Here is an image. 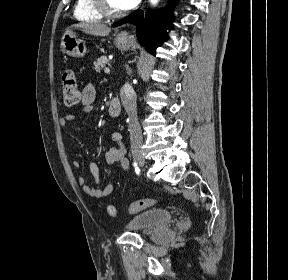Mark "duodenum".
<instances>
[{"label": "duodenum", "instance_id": "1", "mask_svg": "<svg viewBox=\"0 0 288 280\" xmlns=\"http://www.w3.org/2000/svg\"><path fill=\"white\" fill-rule=\"evenodd\" d=\"M107 112L111 118H117L121 113L120 101L116 98L112 99L108 105Z\"/></svg>", "mask_w": 288, "mask_h": 280}]
</instances>
